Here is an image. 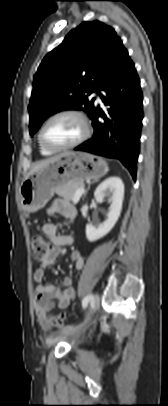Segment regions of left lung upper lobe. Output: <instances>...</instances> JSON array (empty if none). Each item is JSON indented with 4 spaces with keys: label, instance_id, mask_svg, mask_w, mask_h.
<instances>
[{
    "label": "left lung upper lobe",
    "instance_id": "obj_1",
    "mask_svg": "<svg viewBox=\"0 0 168 406\" xmlns=\"http://www.w3.org/2000/svg\"><path fill=\"white\" fill-rule=\"evenodd\" d=\"M111 26L97 20L83 22L42 60L33 80L29 104L30 134L50 115L62 110H83L91 118L94 99L103 79L124 50Z\"/></svg>",
    "mask_w": 168,
    "mask_h": 406
}]
</instances>
